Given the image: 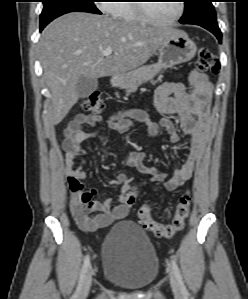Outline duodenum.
I'll return each mask as SVG.
<instances>
[{"instance_id": "410a0bca", "label": "duodenum", "mask_w": 248, "mask_h": 299, "mask_svg": "<svg viewBox=\"0 0 248 299\" xmlns=\"http://www.w3.org/2000/svg\"><path fill=\"white\" fill-rule=\"evenodd\" d=\"M113 81H114L115 84H118V78L117 77H115Z\"/></svg>"}]
</instances>
